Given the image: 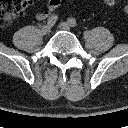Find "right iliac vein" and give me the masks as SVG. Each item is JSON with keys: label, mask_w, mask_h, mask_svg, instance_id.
<instances>
[{"label": "right iliac vein", "mask_w": 128, "mask_h": 128, "mask_svg": "<svg viewBox=\"0 0 128 128\" xmlns=\"http://www.w3.org/2000/svg\"><path fill=\"white\" fill-rule=\"evenodd\" d=\"M42 31L44 34H49L51 32V26L49 25H44L42 28Z\"/></svg>", "instance_id": "1"}]
</instances>
